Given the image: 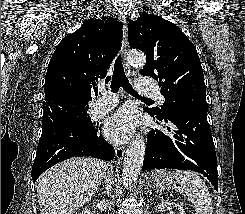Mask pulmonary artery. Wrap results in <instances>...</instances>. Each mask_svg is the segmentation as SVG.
Masks as SVG:
<instances>
[{
	"mask_svg": "<svg viewBox=\"0 0 245 214\" xmlns=\"http://www.w3.org/2000/svg\"><path fill=\"white\" fill-rule=\"evenodd\" d=\"M136 89L144 96L158 99L161 104L165 100L164 97L158 92L156 84L152 80L143 78L138 79L136 81ZM117 102V95L102 91L100 98L95 104L96 114L102 115L106 113L107 111L111 110L117 104Z\"/></svg>",
	"mask_w": 245,
	"mask_h": 214,
	"instance_id": "obj_1",
	"label": "pulmonary artery"
}]
</instances>
